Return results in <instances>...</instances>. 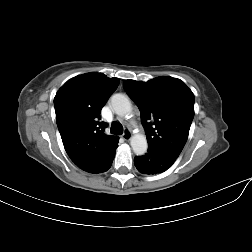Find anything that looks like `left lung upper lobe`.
Returning <instances> with one entry per match:
<instances>
[{
    "label": "left lung upper lobe",
    "instance_id": "5c2ea615",
    "mask_svg": "<svg viewBox=\"0 0 252 252\" xmlns=\"http://www.w3.org/2000/svg\"><path fill=\"white\" fill-rule=\"evenodd\" d=\"M123 87L138 106L148 147L179 156L194 117V94L180 79L125 80Z\"/></svg>",
    "mask_w": 252,
    "mask_h": 252
}]
</instances>
